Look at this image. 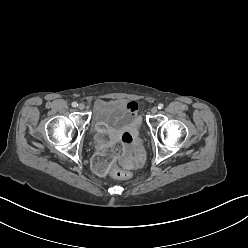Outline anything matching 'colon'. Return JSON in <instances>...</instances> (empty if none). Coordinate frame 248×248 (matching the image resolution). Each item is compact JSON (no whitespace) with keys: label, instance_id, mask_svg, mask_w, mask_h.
Here are the masks:
<instances>
[{"label":"colon","instance_id":"colon-1","mask_svg":"<svg viewBox=\"0 0 248 248\" xmlns=\"http://www.w3.org/2000/svg\"><path fill=\"white\" fill-rule=\"evenodd\" d=\"M95 133L98 136L97 142L100 145L101 153L95 155L91 163L94 166L96 174L107 177L111 174L112 177L117 179H128L131 174L118 166H112L110 164L115 160V154L122 148V143L118 139L110 140L108 133V127L104 123H99L95 127Z\"/></svg>","mask_w":248,"mask_h":248}]
</instances>
